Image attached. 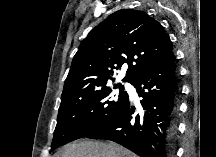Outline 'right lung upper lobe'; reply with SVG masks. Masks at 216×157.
Here are the masks:
<instances>
[{
	"instance_id": "right-lung-upper-lobe-1",
	"label": "right lung upper lobe",
	"mask_w": 216,
	"mask_h": 157,
	"mask_svg": "<svg viewBox=\"0 0 216 157\" xmlns=\"http://www.w3.org/2000/svg\"><path fill=\"white\" fill-rule=\"evenodd\" d=\"M172 47L164 28L145 12L116 11L81 42L64 82L61 100L109 87L108 82L115 80V71L124 63L129 68L123 81L131 83L165 58Z\"/></svg>"
}]
</instances>
